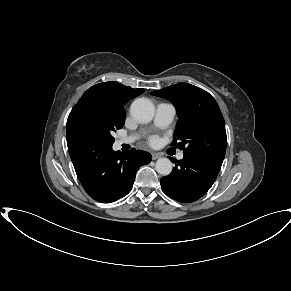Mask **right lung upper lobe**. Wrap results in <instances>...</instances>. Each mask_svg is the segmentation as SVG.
I'll list each match as a JSON object with an SVG mask.
<instances>
[{"label": "right lung upper lobe", "instance_id": "1", "mask_svg": "<svg viewBox=\"0 0 291 291\" xmlns=\"http://www.w3.org/2000/svg\"><path fill=\"white\" fill-rule=\"evenodd\" d=\"M143 92L144 89H133L118 82L99 83L90 87L78 101V104L91 101L107 105L119 112H125L123 105Z\"/></svg>", "mask_w": 291, "mask_h": 291}]
</instances>
